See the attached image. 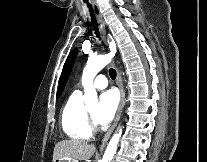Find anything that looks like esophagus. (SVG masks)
I'll return each mask as SVG.
<instances>
[{
	"label": "esophagus",
	"instance_id": "1",
	"mask_svg": "<svg viewBox=\"0 0 207 162\" xmlns=\"http://www.w3.org/2000/svg\"><path fill=\"white\" fill-rule=\"evenodd\" d=\"M91 2H92L94 14H95L96 20L98 22L102 38H103L105 44L106 45L109 44V48L110 49L116 50V43H115L113 37L110 34L106 35L105 23L103 21L102 14H101V12L99 10L98 5L95 3V0H91ZM115 65H116V63H115ZM116 73H117L116 83L118 85V88H119L120 94H121L120 103H119V106H118V110H117V114H116V118L114 120V123H113L112 127L110 128V130L104 136V138H103V140H102V142H101V144L99 146L100 150L104 149L107 141L109 140L111 134L113 133L115 127L117 126V123H118V121L120 119V116H121V113H122V110H123V107H124L125 90H124L123 83H122L121 73H120V70H119V68L117 66H116Z\"/></svg>",
	"mask_w": 207,
	"mask_h": 162
}]
</instances>
